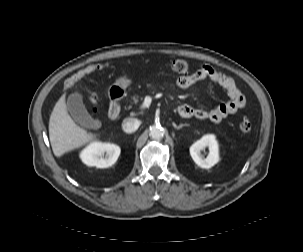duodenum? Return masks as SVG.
Listing matches in <instances>:
<instances>
[{
	"mask_svg": "<svg viewBox=\"0 0 303 252\" xmlns=\"http://www.w3.org/2000/svg\"><path fill=\"white\" fill-rule=\"evenodd\" d=\"M123 91L120 88H116L113 93V97L111 100L110 110H109V117L111 119H115L119 116L121 112V97H122Z\"/></svg>",
	"mask_w": 303,
	"mask_h": 252,
	"instance_id": "410a0bca",
	"label": "duodenum"
}]
</instances>
